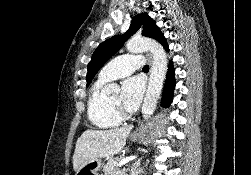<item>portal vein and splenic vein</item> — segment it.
Listing matches in <instances>:
<instances>
[{
  "label": "portal vein and splenic vein",
  "instance_id": "obj_1",
  "mask_svg": "<svg viewBox=\"0 0 251 175\" xmlns=\"http://www.w3.org/2000/svg\"><path fill=\"white\" fill-rule=\"evenodd\" d=\"M135 157H137V155H130V157H125V159H121L118 165H123V163H127V161H130V159H135Z\"/></svg>",
  "mask_w": 251,
  "mask_h": 175
}]
</instances>
